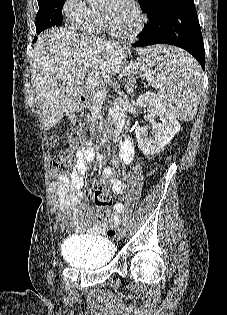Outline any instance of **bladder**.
Listing matches in <instances>:
<instances>
[{
    "instance_id": "obj_1",
    "label": "bladder",
    "mask_w": 227,
    "mask_h": 315,
    "mask_svg": "<svg viewBox=\"0 0 227 315\" xmlns=\"http://www.w3.org/2000/svg\"><path fill=\"white\" fill-rule=\"evenodd\" d=\"M62 253L77 268L96 269L113 261L115 248L106 237L77 235L66 241Z\"/></svg>"
}]
</instances>
